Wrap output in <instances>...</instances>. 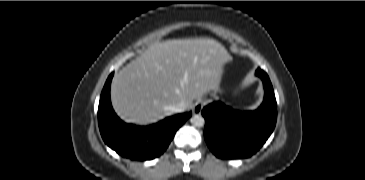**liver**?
<instances>
[{
  "label": "liver",
  "mask_w": 365,
  "mask_h": 180,
  "mask_svg": "<svg viewBox=\"0 0 365 180\" xmlns=\"http://www.w3.org/2000/svg\"><path fill=\"white\" fill-rule=\"evenodd\" d=\"M232 61L225 47L212 38L156 42L115 74L111 101L126 122L150 124L186 109L206 92L218 90L223 66Z\"/></svg>",
  "instance_id": "liver-1"
}]
</instances>
